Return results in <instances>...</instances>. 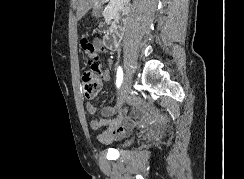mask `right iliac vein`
Listing matches in <instances>:
<instances>
[{"label":"right iliac vein","mask_w":244,"mask_h":179,"mask_svg":"<svg viewBox=\"0 0 244 179\" xmlns=\"http://www.w3.org/2000/svg\"><path fill=\"white\" fill-rule=\"evenodd\" d=\"M130 87H131V77L130 75L126 72L124 79L122 80L121 83V88L119 91V96H118V102H117V108L122 107V105L125 102V98L127 94L130 92Z\"/></svg>","instance_id":"right-iliac-vein-1"}]
</instances>
